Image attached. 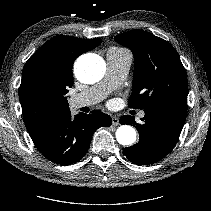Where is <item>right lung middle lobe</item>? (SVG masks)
<instances>
[{
  "mask_svg": "<svg viewBox=\"0 0 211 211\" xmlns=\"http://www.w3.org/2000/svg\"><path fill=\"white\" fill-rule=\"evenodd\" d=\"M35 93L44 100H54L66 95L67 90L51 86L43 81H38L34 86Z\"/></svg>",
  "mask_w": 211,
  "mask_h": 211,
  "instance_id": "obj_1",
  "label": "right lung middle lobe"
}]
</instances>
